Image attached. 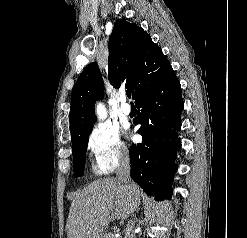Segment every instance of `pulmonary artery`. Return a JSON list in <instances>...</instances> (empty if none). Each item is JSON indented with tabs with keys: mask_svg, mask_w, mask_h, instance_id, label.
Masks as SVG:
<instances>
[{
	"mask_svg": "<svg viewBox=\"0 0 247 238\" xmlns=\"http://www.w3.org/2000/svg\"><path fill=\"white\" fill-rule=\"evenodd\" d=\"M120 101H121V111H122V113L125 114V115H129L131 113V107L126 102L125 95H121Z\"/></svg>",
	"mask_w": 247,
	"mask_h": 238,
	"instance_id": "e3ab8cb5",
	"label": "pulmonary artery"
}]
</instances>
